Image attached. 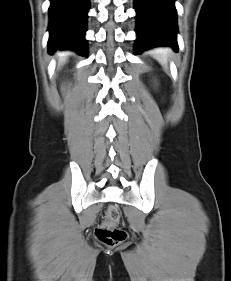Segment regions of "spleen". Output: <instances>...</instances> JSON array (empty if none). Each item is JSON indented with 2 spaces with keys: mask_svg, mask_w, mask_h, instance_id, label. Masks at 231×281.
Returning a JSON list of instances; mask_svg holds the SVG:
<instances>
[{
  "mask_svg": "<svg viewBox=\"0 0 231 281\" xmlns=\"http://www.w3.org/2000/svg\"><path fill=\"white\" fill-rule=\"evenodd\" d=\"M152 55L162 66L168 67V61L172 56V51L169 48H156L152 50Z\"/></svg>",
  "mask_w": 231,
  "mask_h": 281,
  "instance_id": "3e777b00",
  "label": "spleen"
}]
</instances>
